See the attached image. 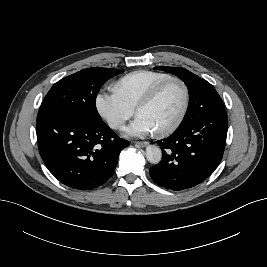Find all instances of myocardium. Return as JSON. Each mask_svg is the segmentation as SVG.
Here are the masks:
<instances>
[{"instance_id": "obj_1", "label": "myocardium", "mask_w": 267, "mask_h": 267, "mask_svg": "<svg viewBox=\"0 0 267 267\" xmlns=\"http://www.w3.org/2000/svg\"><path fill=\"white\" fill-rule=\"evenodd\" d=\"M170 82H177L181 85L184 92V101L182 109L177 119L169 126L156 131V133L160 136H165L174 132L176 129H178V127L182 124V122L185 119L190 104V91L186 82L179 77L170 76L155 84L136 106V113H138V111L141 108L150 105L157 98L160 91Z\"/></svg>"}]
</instances>
